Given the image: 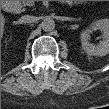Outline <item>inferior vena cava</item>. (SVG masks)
I'll list each match as a JSON object with an SVG mask.
<instances>
[{"mask_svg": "<svg viewBox=\"0 0 109 109\" xmlns=\"http://www.w3.org/2000/svg\"><path fill=\"white\" fill-rule=\"evenodd\" d=\"M35 21V17L31 15L22 16L20 22L22 23H32Z\"/></svg>", "mask_w": 109, "mask_h": 109, "instance_id": "obj_1", "label": "inferior vena cava"}]
</instances>
